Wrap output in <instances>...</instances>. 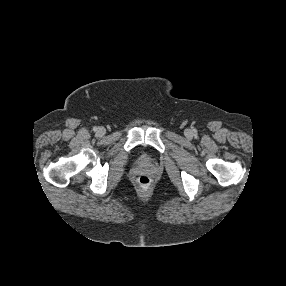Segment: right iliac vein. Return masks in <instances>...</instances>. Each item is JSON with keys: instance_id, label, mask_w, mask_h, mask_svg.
Here are the masks:
<instances>
[{"instance_id": "1", "label": "right iliac vein", "mask_w": 286, "mask_h": 286, "mask_svg": "<svg viewBox=\"0 0 286 286\" xmlns=\"http://www.w3.org/2000/svg\"><path fill=\"white\" fill-rule=\"evenodd\" d=\"M105 128H103V127H99L98 129H97V134L98 135H104L105 134Z\"/></svg>"}]
</instances>
